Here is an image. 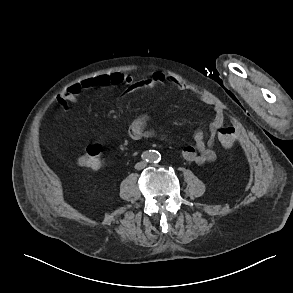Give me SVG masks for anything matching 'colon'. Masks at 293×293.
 I'll use <instances>...</instances> for the list:
<instances>
[{
  "instance_id": "1",
  "label": "colon",
  "mask_w": 293,
  "mask_h": 293,
  "mask_svg": "<svg viewBox=\"0 0 293 293\" xmlns=\"http://www.w3.org/2000/svg\"><path fill=\"white\" fill-rule=\"evenodd\" d=\"M236 139V131L232 126L223 127L218 132V140L225 147H231ZM102 145L99 143L89 144L78 158V165L82 168L96 170L103 165Z\"/></svg>"
}]
</instances>
